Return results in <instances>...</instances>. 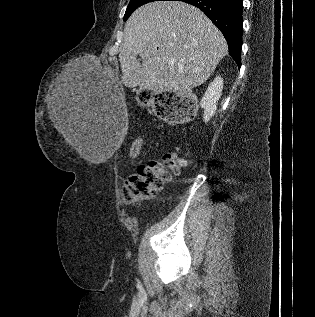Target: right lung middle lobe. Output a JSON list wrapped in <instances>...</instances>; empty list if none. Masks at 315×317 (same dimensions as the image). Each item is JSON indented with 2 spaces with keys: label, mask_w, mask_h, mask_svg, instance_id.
I'll list each match as a JSON object with an SVG mask.
<instances>
[{
  "label": "right lung middle lobe",
  "mask_w": 315,
  "mask_h": 317,
  "mask_svg": "<svg viewBox=\"0 0 315 317\" xmlns=\"http://www.w3.org/2000/svg\"><path fill=\"white\" fill-rule=\"evenodd\" d=\"M153 1H160V0H130L124 15V21H126L128 17L132 14V12L136 10L138 7Z\"/></svg>",
  "instance_id": "1"
}]
</instances>
